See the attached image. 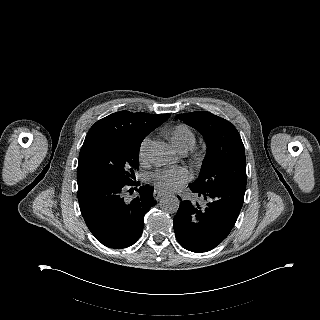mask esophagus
<instances>
[{
  "label": "esophagus",
  "instance_id": "obj_1",
  "mask_svg": "<svg viewBox=\"0 0 320 320\" xmlns=\"http://www.w3.org/2000/svg\"><path fill=\"white\" fill-rule=\"evenodd\" d=\"M166 192L162 189L156 188L153 192V196L156 200L160 199Z\"/></svg>",
  "mask_w": 320,
  "mask_h": 320
}]
</instances>
